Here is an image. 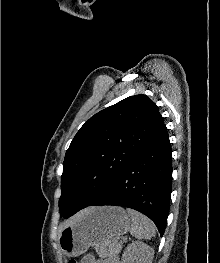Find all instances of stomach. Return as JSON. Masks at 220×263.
Returning <instances> with one entry per match:
<instances>
[{
    "mask_svg": "<svg viewBox=\"0 0 220 263\" xmlns=\"http://www.w3.org/2000/svg\"><path fill=\"white\" fill-rule=\"evenodd\" d=\"M130 224L128 214L121 207H92L60 232L59 247L69 257L79 256L90 246L100 248L125 234Z\"/></svg>",
    "mask_w": 220,
    "mask_h": 263,
    "instance_id": "obj_1",
    "label": "stomach"
}]
</instances>
